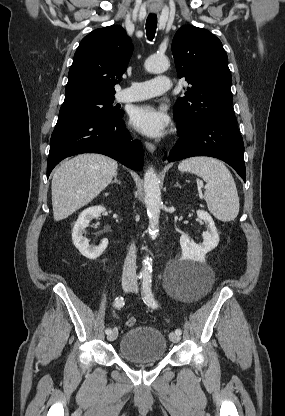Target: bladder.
Instances as JSON below:
<instances>
[{
	"label": "bladder",
	"mask_w": 285,
	"mask_h": 416,
	"mask_svg": "<svg viewBox=\"0 0 285 416\" xmlns=\"http://www.w3.org/2000/svg\"><path fill=\"white\" fill-rule=\"evenodd\" d=\"M117 347L122 360L155 364L165 359L167 341L154 326H136L121 336Z\"/></svg>",
	"instance_id": "31cf9c89"
}]
</instances>
